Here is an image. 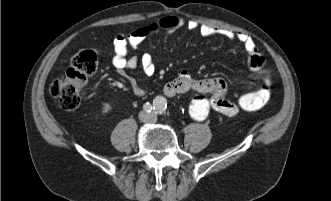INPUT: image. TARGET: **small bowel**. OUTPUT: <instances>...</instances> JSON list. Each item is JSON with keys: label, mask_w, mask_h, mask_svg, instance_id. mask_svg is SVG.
<instances>
[{"label": "small bowel", "mask_w": 331, "mask_h": 201, "mask_svg": "<svg viewBox=\"0 0 331 201\" xmlns=\"http://www.w3.org/2000/svg\"><path fill=\"white\" fill-rule=\"evenodd\" d=\"M184 24L189 30L198 31L203 37L222 36L228 40L240 42L247 53L249 68L257 74H264L267 71L266 62L248 34L199 24L191 20L184 22L177 16L163 17L130 33L117 34L113 40V66L120 74L124 75L126 70H133L140 63L146 75H153L155 65L150 54L145 53L139 58L135 55L129 56V51L136 49L146 38L152 35L161 32L172 33ZM129 83L131 91L135 96L141 97L145 95V89L139 83L133 79H130ZM255 83L256 81L253 82V84ZM227 91L228 87L223 79L209 78L197 80L185 70H181L173 81L164 86L165 95L170 97L186 92L197 93L188 108L190 116L196 121L205 120L212 110L227 116L238 114L240 108L236 102L226 98Z\"/></svg>", "instance_id": "small-bowel-1"}]
</instances>
